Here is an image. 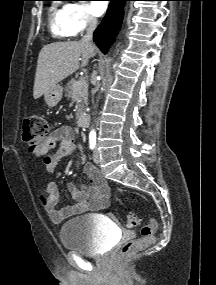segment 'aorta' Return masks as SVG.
Instances as JSON below:
<instances>
[{"label":"aorta","mask_w":216,"mask_h":285,"mask_svg":"<svg viewBox=\"0 0 216 285\" xmlns=\"http://www.w3.org/2000/svg\"><path fill=\"white\" fill-rule=\"evenodd\" d=\"M91 134H95V131H94V130H92V131H91Z\"/></svg>","instance_id":"762f6f07"}]
</instances>
